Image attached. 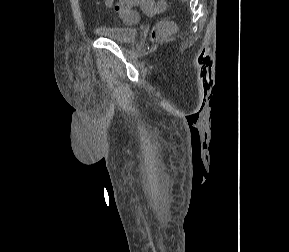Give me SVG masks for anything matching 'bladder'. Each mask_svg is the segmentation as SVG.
Wrapping results in <instances>:
<instances>
[{
  "instance_id": "obj_1",
  "label": "bladder",
  "mask_w": 289,
  "mask_h": 252,
  "mask_svg": "<svg viewBox=\"0 0 289 252\" xmlns=\"http://www.w3.org/2000/svg\"><path fill=\"white\" fill-rule=\"evenodd\" d=\"M95 32L100 36L121 43L133 42L137 37V29L130 26H99L95 28Z\"/></svg>"
}]
</instances>
